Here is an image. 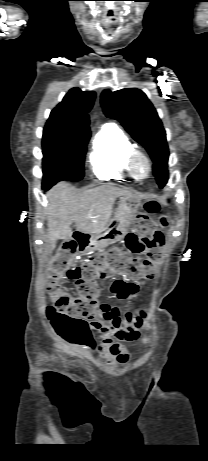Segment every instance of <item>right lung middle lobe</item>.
Instances as JSON below:
<instances>
[{
	"mask_svg": "<svg viewBox=\"0 0 208 461\" xmlns=\"http://www.w3.org/2000/svg\"><path fill=\"white\" fill-rule=\"evenodd\" d=\"M90 134H71L45 126L43 131V186L62 180L80 181Z\"/></svg>",
	"mask_w": 208,
	"mask_h": 461,
	"instance_id": "1",
	"label": "right lung middle lobe"
}]
</instances>
